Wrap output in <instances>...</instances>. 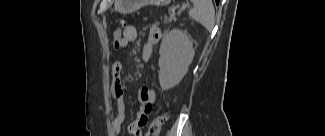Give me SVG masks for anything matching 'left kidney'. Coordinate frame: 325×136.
<instances>
[{
  "label": "left kidney",
  "instance_id": "1",
  "mask_svg": "<svg viewBox=\"0 0 325 136\" xmlns=\"http://www.w3.org/2000/svg\"><path fill=\"white\" fill-rule=\"evenodd\" d=\"M159 53V83L165 91L178 85L188 72L195 55L192 37L174 28L163 37Z\"/></svg>",
  "mask_w": 325,
  "mask_h": 136
}]
</instances>
